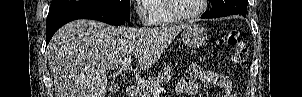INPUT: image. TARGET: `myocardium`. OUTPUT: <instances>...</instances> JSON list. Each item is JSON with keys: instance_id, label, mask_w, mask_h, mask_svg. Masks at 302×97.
<instances>
[{"instance_id": "myocardium-1", "label": "myocardium", "mask_w": 302, "mask_h": 97, "mask_svg": "<svg viewBox=\"0 0 302 97\" xmlns=\"http://www.w3.org/2000/svg\"><path fill=\"white\" fill-rule=\"evenodd\" d=\"M174 0H167V9L169 14L176 20V21H188L191 19H194L196 17H199L202 15L207 8L208 0H200V7L198 10H196L193 13L190 14H180L176 11L174 4Z\"/></svg>"}]
</instances>
